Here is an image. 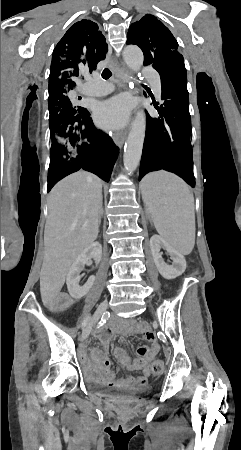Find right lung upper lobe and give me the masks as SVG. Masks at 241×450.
<instances>
[{"instance_id":"cb5924a9","label":"right lung upper lobe","mask_w":241,"mask_h":450,"mask_svg":"<svg viewBox=\"0 0 241 450\" xmlns=\"http://www.w3.org/2000/svg\"><path fill=\"white\" fill-rule=\"evenodd\" d=\"M107 51L105 37L96 23L83 19L72 25L53 51L48 100L68 96L76 86V79L95 70Z\"/></svg>"}]
</instances>
